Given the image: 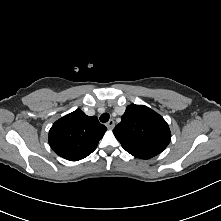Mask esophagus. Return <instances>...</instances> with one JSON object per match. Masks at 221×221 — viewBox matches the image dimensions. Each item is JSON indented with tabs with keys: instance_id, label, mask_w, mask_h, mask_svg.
Instances as JSON below:
<instances>
[{
	"instance_id": "obj_1",
	"label": "esophagus",
	"mask_w": 221,
	"mask_h": 221,
	"mask_svg": "<svg viewBox=\"0 0 221 221\" xmlns=\"http://www.w3.org/2000/svg\"><path fill=\"white\" fill-rule=\"evenodd\" d=\"M114 125H115V122L113 119H110L107 123H106V126L108 129H113L114 128Z\"/></svg>"
}]
</instances>
